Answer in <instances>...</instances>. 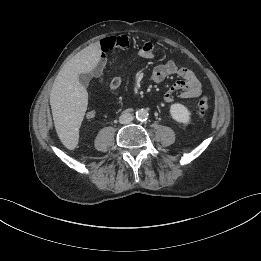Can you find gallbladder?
Masks as SVG:
<instances>
[{"label": "gallbladder", "instance_id": "1", "mask_svg": "<svg viewBox=\"0 0 261 261\" xmlns=\"http://www.w3.org/2000/svg\"><path fill=\"white\" fill-rule=\"evenodd\" d=\"M79 82L80 84H82L83 86H88L90 79H91V74L90 73H83V74H79L78 76Z\"/></svg>", "mask_w": 261, "mask_h": 261}]
</instances>
